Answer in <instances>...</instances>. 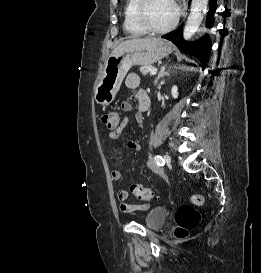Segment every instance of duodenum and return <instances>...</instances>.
<instances>
[{"label":"duodenum","instance_id":"1","mask_svg":"<svg viewBox=\"0 0 261 273\" xmlns=\"http://www.w3.org/2000/svg\"><path fill=\"white\" fill-rule=\"evenodd\" d=\"M149 107V99L146 98L144 104H143V110H146Z\"/></svg>","mask_w":261,"mask_h":273}]
</instances>
